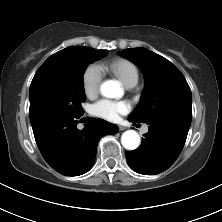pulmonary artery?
<instances>
[{"label":"pulmonary artery","instance_id":"1","mask_svg":"<svg viewBox=\"0 0 222 222\" xmlns=\"http://www.w3.org/2000/svg\"><path fill=\"white\" fill-rule=\"evenodd\" d=\"M142 131H143V133H146V132H148V128L144 127Z\"/></svg>","mask_w":222,"mask_h":222}]
</instances>
